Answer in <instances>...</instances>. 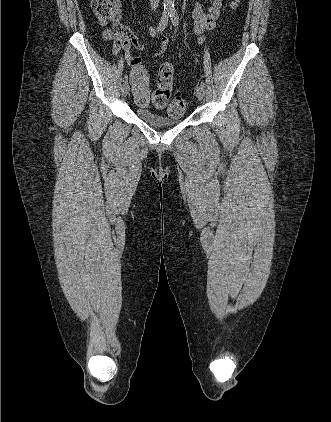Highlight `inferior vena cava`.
Wrapping results in <instances>:
<instances>
[{
    "label": "inferior vena cava",
    "mask_w": 331,
    "mask_h": 422,
    "mask_svg": "<svg viewBox=\"0 0 331 422\" xmlns=\"http://www.w3.org/2000/svg\"><path fill=\"white\" fill-rule=\"evenodd\" d=\"M150 3H151L152 9L155 10L158 7L159 0H150Z\"/></svg>",
    "instance_id": "602c4592"
}]
</instances>
